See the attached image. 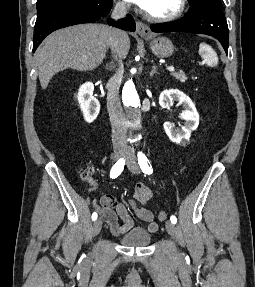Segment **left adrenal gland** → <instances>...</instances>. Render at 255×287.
<instances>
[{"label": "left adrenal gland", "mask_w": 255, "mask_h": 287, "mask_svg": "<svg viewBox=\"0 0 255 287\" xmlns=\"http://www.w3.org/2000/svg\"><path fill=\"white\" fill-rule=\"evenodd\" d=\"M154 74H158L156 66H152V72H150V76H154Z\"/></svg>", "instance_id": "left-adrenal-gland-1"}]
</instances>
